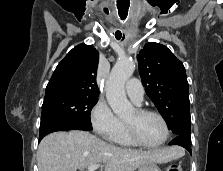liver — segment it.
<instances>
[{"label": "liver", "instance_id": "obj_1", "mask_svg": "<svg viewBox=\"0 0 223 171\" xmlns=\"http://www.w3.org/2000/svg\"><path fill=\"white\" fill-rule=\"evenodd\" d=\"M183 154L179 147L151 151L120 148L89 132L72 130L44 137L37 160L39 171H77L93 164L103 165L104 171H135L146 163H167Z\"/></svg>", "mask_w": 223, "mask_h": 171}]
</instances>
